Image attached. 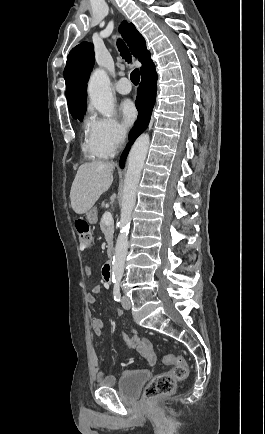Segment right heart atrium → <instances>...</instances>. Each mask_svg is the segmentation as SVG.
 Returning <instances> with one entry per match:
<instances>
[{
	"label": "right heart atrium",
	"mask_w": 265,
	"mask_h": 434,
	"mask_svg": "<svg viewBox=\"0 0 265 434\" xmlns=\"http://www.w3.org/2000/svg\"><path fill=\"white\" fill-rule=\"evenodd\" d=\"M92 114L89 118V127H87L89 154H98V157L105 159H115L116 154H123L127 146L128 133L125 132L121 118L111 116L108 112L103 115L99 113V108L92 106L89 109Z\"/></svg>",
	"instance_id": "right-heart-atrium-1"
}]
</instances>
